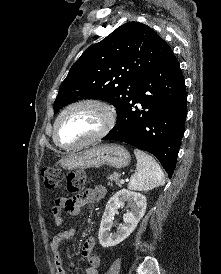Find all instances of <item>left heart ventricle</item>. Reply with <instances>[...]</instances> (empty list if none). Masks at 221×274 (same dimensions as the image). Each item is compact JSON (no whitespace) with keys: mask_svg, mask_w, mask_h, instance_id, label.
I'll use <instances>...</instances> for the list:
<instances>
[{"mask_svg":"<svg viewBox=\"0 0 221 274\" xmlns=\"http://www.w3.org/2000/svg\"><path fill=\"white\" fill-rule=\"evenodd\" d=\"M102 124L103 116L97 108H74L60 121L58 139L63 144H77L94 135Z\"/></svg>","mask_w":221,"mask_h":274,"instance_id":"1","label":"left heart ventricle"}]
</instances>
